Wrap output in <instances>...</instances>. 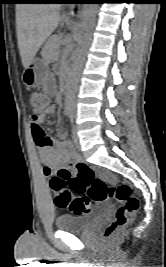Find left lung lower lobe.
Wrapping results in <instances>:
<instances>
[{"instance_id":"1","label":"left lung lower lobe","mask_w":166,"mask_h":267,"mask_svg":"<svg viewBox=\"0 0 166 267\" xmlns=\"http://www.w3.org/2000/svg\"><path fill=\"white\" fill-rule=\"evenodd\" d=\"M52 3H64V2H62V1H54Z\"/></svg>"}]
</instances>
